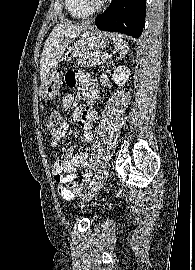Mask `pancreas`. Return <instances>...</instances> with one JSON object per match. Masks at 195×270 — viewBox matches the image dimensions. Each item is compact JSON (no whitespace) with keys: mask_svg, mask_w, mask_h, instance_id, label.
<instances>
[{"mask_svg":"<svg viewBox=\"0 0 195 270\" xmlns=\"http://www.w3.org/2000/svg\"><path fill=\"white\" fill-rule=\"evenodd\" d=\"M109 58H105L101 53H89L78 54L77 64L78 66L85 67V66H96L105 63Z\"/></svg>","mask_w":195,"mask_h":270,"instance_id":"pancreas-1","label":"pancreas"}]
</instances>
